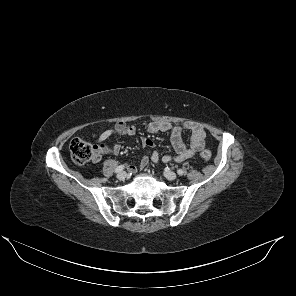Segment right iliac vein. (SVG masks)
<instances>
[{"instance_id": "obj_1", "label": "right iliac vein", "mask_w": 296, "mask_h": 296, "mask_svg": "<svg viewBox=\"0 0 296 296\" xmlns=\"http://www.w3.org/2000/svg\"><path fill=\"white\" fill-rule=\"evenodd\" d=\"M126 176H127L126 172H120L119 174H117V178L119 180H124Z\"/></svg>"}]
</instances>
